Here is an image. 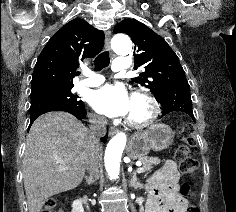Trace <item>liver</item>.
Instances as JSON below:
<instances>
[{
  "label": "liver",
  "instance_id": "6515ba94",
  "mask_svg": "<svg viewBox=\"0 0 236 212\" xmlns=\"http://www.w3.org/2000/svg\"><path fill=\"white\" fill-rule=\"evenodd\" d=\"M92 149L91 132L72 114L49 112L36 119L23 157L29 212H40L49 197L76 188L83 180ZM62 166L68 169L60 171Z\"/></svg>",
  "mask_w": 236,
  "mask_h": 212
}]
</instances>
